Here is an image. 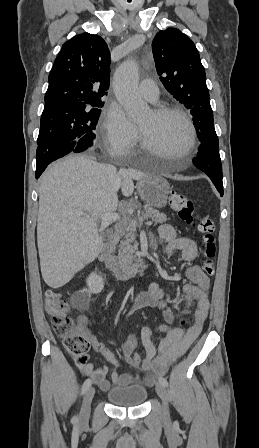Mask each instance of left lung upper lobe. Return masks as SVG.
Wrapping results in <instances>:
<instances>
[{
	"label": "left lung upper lobe",
	"mask_w": 259,
	"mask_h": 448,
	"mask_svg": "<svg viewBox=\"0 0 259 448\" xmlns=\"http://www.w3.org/2000/svg\"><path fill=\"white\" fill-rule=\"evenodd\" d=\"M152 51L160 81L193 117L199 141L217 138L205 69L193 41L175 28L159 31Z\"/></svg>",
	"instance_id": "obj_1"
}]
</instances>
